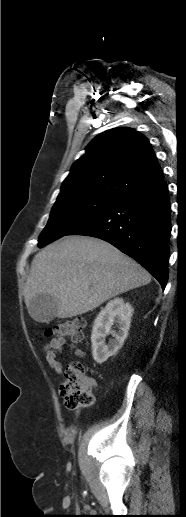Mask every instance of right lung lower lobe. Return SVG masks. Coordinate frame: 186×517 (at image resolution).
<instances>
[{"label":"right lung lower lobe","instance_id":"right-lung-lower-lobe-1","mask_svg":"<svg viewBox=\"0 0 186 517\" xmlns=\"http://www.w3.org/2000/svg\"><path fill=\"white\" fill-rule=\"evenodd\" d=\"M171 204L164 179L131 190L68 235L100 238L134 258L164 289L168 280Z\"/></svg>","mask_w":186,"mask_h":517}]
</instances>
